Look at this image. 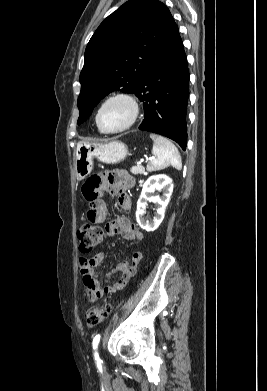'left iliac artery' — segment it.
Returning <instances> with one entry per match:
<instances>
[{"label":"left iliac artery","instance_id":"1","mask_svg":"<svg viewBox=\"0 0 267 391\" xmlns=\"http://www.w3.org/2000/svg\"><path fill=\"white\" fill-rule=\"evenodd\" d=\"M99 341H100V335L98 334V335H96V336L94 337V339H93V348H94V349L97 348V346H98V344H99ZM95 360L97 361V366H98V368L101 369V363H100L101 361H100L99 356H98L97 353H95Z\"/></svg>","mask_w":267,"mask_h":391}]
</instances>
